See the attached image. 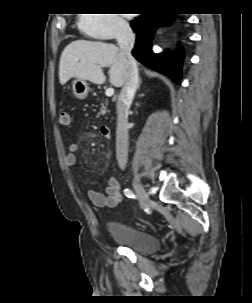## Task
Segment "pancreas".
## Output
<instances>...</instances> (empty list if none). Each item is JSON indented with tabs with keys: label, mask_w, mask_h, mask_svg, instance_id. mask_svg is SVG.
<instances>
[{
	"label": "pancreas",
	"mask_w": 252,
	"mask_h": 303,
	"mask_svg": "<svg viewBox=\"0 0 252 303\" xmlns=\"http://www.w3.org/2000/svg\"><path fill=\"white\" fill-rule=\"evenodd\" d=\"M107 105H108L107 100H105V101H103L101 103V108L99 110L98 116L106 114V112H107Z\"/></svg>",
	"instance_id": "obj_1"
}]
</instances>
